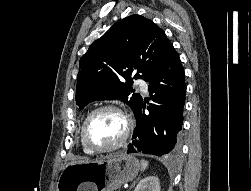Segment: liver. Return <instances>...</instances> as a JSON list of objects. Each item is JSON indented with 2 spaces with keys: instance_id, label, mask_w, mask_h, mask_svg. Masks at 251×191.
<instances>
[{
  "instance_id": "1",
  "label": "liver",
  "mask_w": 251,
  "mask_h": 191,
  "mask_svg": "<svg viewBox=\"0 0 251 191\" xmlns=\"http://www.w3.org/2000/svg\"><path fill=\"white\" fill-rule=\"evenodd\" d=\"M80 161H81V163H83V161H87V163H88L89 159H88V157H81ZM71 163H76V161H71Z\"/></svg>"
}]
</instances>
